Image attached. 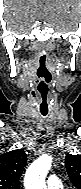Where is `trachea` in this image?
I'll list each match as a JSON object with an SVG mask.
<instances>
[{"mask_svg":"<svg viewBox=\"0 0 81 189\" xmlns=\"http://www.w3.org/2000/svg\"><path fill=\"white\" fill-rule=\"evenodd\" d=\"M42 116H46L47 115V112H41Z\"/></svg>","mask_w":81,"mask_h":189,"instance_id":"3493384b","label":"trachea"}]
</instances>
